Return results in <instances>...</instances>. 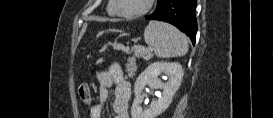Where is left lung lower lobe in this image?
<instances>
[{"instance_id": "0a47b994", "label": "left lung lower lobe", "mask_w": 273, "mask_h": 118, "mask_svg": "<svg viewBox=\"0 0 273 118\" xmlns=\"http://www.w3.org/2000/svg\"><path fill=\"white\" fill-rule=\"evenodd\" d=\"M196 0H161L155 12L146 19L168 22L186 33L195 44L197 21Z\"/></svg>"}]
</instances>
